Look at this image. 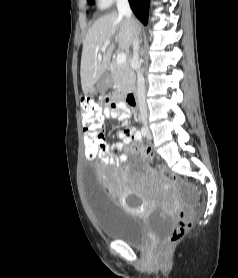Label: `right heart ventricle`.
Wrapping results in <instances>:
<instances>
[{
    "label": "right heart ventricle",
    "instance_id": "obj_1",
    "mask_svg": "<svg viewBox=\"0 0 238 278\" xmlns=\"http://www.w3.org/2000/svg\"><path fill=\"white\" fill-rule=\"evenodd\" d=\"M98 5H99V7L102 8V9L107 7V6L103 5L102 3H100L99 1H98Z\"/></svg>",
    "mask_w": 238,
    "mask_h": 278
}]
</instances>
